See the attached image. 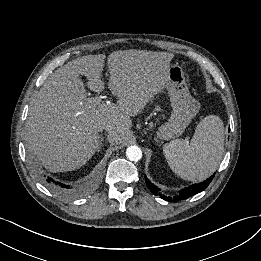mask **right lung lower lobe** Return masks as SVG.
<instances>
[{
	"mask_svg": "<svg viewBox=\"0 0 261 261\" xmlns=\"http://www.w3.org/2000/svg\"><path fill=\"white\" fill-rule=\"evenodd\" d=\"M46 184L53 188L54 190L62 193V194H66V195H71V196H75V195H79V190H75L72 187H70L69 185L60 183V182H56L54 179L48 177L45 179Z\"/></svg>",
	"mask_w": 261,
	"mask_h": 261,
	"instance_id": "98d812e1",
	"label": "right lung lower lobe"
}]
</instances>
